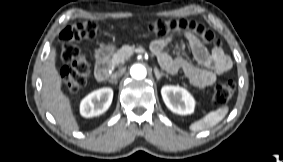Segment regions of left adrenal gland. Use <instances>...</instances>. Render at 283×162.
I'll return each instance as SVG.
<instances>
[{
    "label": "left adrenal gland",
    "mask_w": 283,
    "mask_h": 162,
    "mask_svg": "<svg viewBox=\"0 0 283 162\" xmlns=\"http://www.w3.org/2000/svg\"><path fill=\"white\" fill-rule=\"evenodd\" d=\"M154 73H155V76H156V79H157V80H160V78H161L162 76L168 77L167 74L160 73L159 70L157 69V67L154 68Z\"/></svg>",
    "instance_id": "obj_1"
}]
</instances>
